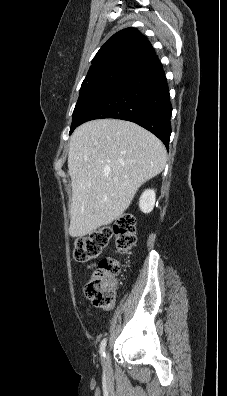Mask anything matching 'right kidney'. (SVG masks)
<instances>
[{
	"instance_id": "right-kidney-1",
	"label": "right kidney",
	"mask_w": 227,
	"mask_h": 396,
	"mask_svg": "<svg viewBox=\"0 0 227 396\" xmlns=\"http://www.w3.org/2000/svg\"><path fill=\"white\" fill-rule=\"evenodd\" d=\"M156 195L154 190H145L139 200L140 210L144 213H150L155 205Z\"/></svg>"
}]
</instances>
